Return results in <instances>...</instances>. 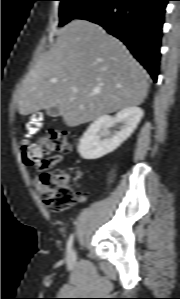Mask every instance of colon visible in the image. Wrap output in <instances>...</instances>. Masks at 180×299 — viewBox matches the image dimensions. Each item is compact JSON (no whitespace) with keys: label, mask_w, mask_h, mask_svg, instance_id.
Listing matches in <instances>:
<instances>
[{"label":"colon","mask_w":180,"mask_h":299,"mask_svg":"<svg viewBox=\"0 0 180 299\" xmlns=\"http://www.w3.org/2000/svg\"><path fill=\"white\" fill-rule=\"evenodd\" d=\"M42 127V115L34 113L26 125L28 134L32 135ZM68 136L63 130L50 129L38 141L22 142L23 161L28 166L39 164L50 152L67 153L70 151ZM44 187L42 199L51 211H63L76 202V192L69 185L67 176L63 173H44L41 177Z\"/></svg>","instance_id":"obj_1"}]
</instances>
